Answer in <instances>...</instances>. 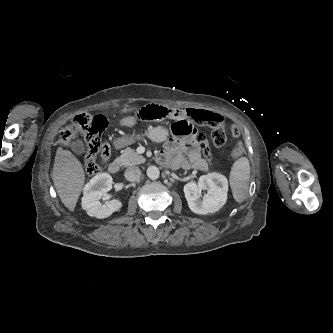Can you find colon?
Masks as SVG:
<instances>
[{
  "label": "colon",
  "instance_id": "5ec220e1",
  "mask_svg": "<svg viewBox=\"0 0 333 333\" xmlns=\"http://www.w3.org/2000/svg\"><path fill=\"white\" fill-rule=\"evenodd\" d=\"M186 114L193 119L207 118V115L192 110H187ZM127 119L129 121H138L139 123L146 124L150 121H158L166 118L177 119L173 127V133L185 137L195 134V127L183 120V112L180 110L168 109L160 105L141 106L136 110H129L127 112ZM211 123V122H210ZM213 130L211 132V142L215 147L222 146L227 139L226 130L220 123H211ZM108 122L102 116L93 117L89 114H80L74 117L72 125L59 132L57 142L64 147L72 146L74 139L81 135L87 142V151L84 158L85 170L89 175L98 174L102 167L97 163V155L100 153L102 162H105L111 155L110 146L106 142L101 141V134L107 128ZM232 135H237L238 130L235 126L230 127ZM196 141L199 144L203 157L208 161L211 158L209 147L206 143L205 137L202 134L196 135ZM243 150L242 144H237L231 151L232 159H237Z\"/></svg>",
  "mask_w": 333,
  "mask_h": 333
}]
</instances>
